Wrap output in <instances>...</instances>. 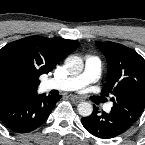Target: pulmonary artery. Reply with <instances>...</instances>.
<instances>
[{"label":"pulmonary artery","instance_id":"e3ab8cb5","mask_svg":"<svg viewBox=\"0 0 145 145\" xmlns=\"http://www.w3.org/2000/svg\"><path fill=\"white\" fill-rule=\"evenodd\" d=\"M101 75V62L95 56H87L84 71L77 75L65 78H51L44 82L46 89L76 90L90 83L96 82ZM112 105L106 104L104 110L109 112Z\"/></svg>","mask_w":145,"mask_h":145}]
</instances>
